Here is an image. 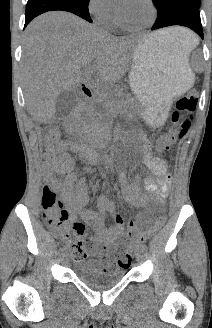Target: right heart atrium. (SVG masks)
<instances>
[{
    "mask_svg": "<svg viewBox=\"0 0 212 328\" xmlns=\"http://www.w3.org/2000/svg\"><path fill=\"white\" fill-rule=\"evenodd\" d=\"M88 12L99 23H104L113 16L114 5L111 0H88Z\"/></svg>",
    "mask_w": 212,
    "mask_h": 328,
    "instance_id": "1",
    "label": "right heart atrium"
}]
</instances>
